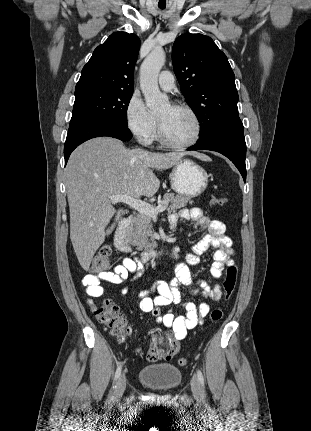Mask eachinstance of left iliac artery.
Listing matches in <instances>:
<instances>
[{
    "label": "left iliac artery",
    "instance_id": "44dca946",
    "mask_svg": "<svg viewBox=\"0 0 311 431\" xmlns=\"http://www.w3.org/2000/svg\"><path fill=\"white\" fill-rule=\"evenodd\" d=\"M197 376H198L199 382L202 386V390L204 393V378H203V374H202L201 370H199V369L197 370Z\"/></svg>",
    "mask_w": 311,
    "mask_h": 431
}]
</instances>
